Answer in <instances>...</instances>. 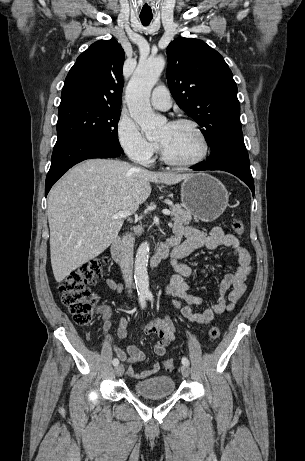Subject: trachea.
<instances>
[{
	"label": "trachea",
	"instance_id": "3493384b",
	"mask_svg": "<svg viewBox=\"0 0 305 461\" xmlns=\"http://www.w3.org/2000/svg\"><path fill=\"white\" fill-rule=\"evenodd\" d=\"M140 20H141V22H142V24L144 26H147L151 22L152 18H143V17H141Z\"/></svg>",
	"mask_w": 305,
	"mask_h": 461
}]
</instances>
